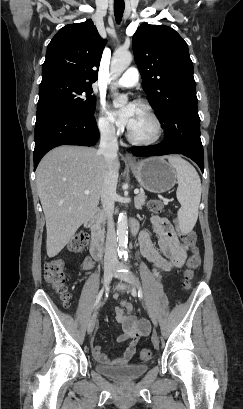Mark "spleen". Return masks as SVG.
Masks as SVG:
<instances>
[{
	"label": "spleen",
	"mask_w": 243,
	"mask_h": 409,
	"mask_svg": "<svg viewBox=\"0 0 243 409\" xmlns=\"http://www.w3.org/2000/svg\"><path fill=\"white\" fill-rule=\"evenodd\" d=\"M169 163L177 173V199L181 204L178 210V222L182 232H190L198 218L201 199V181L195 168L179 156H169Z\"/></svg>",
	"instance_id": "3e777b00"
}]
</instances>
